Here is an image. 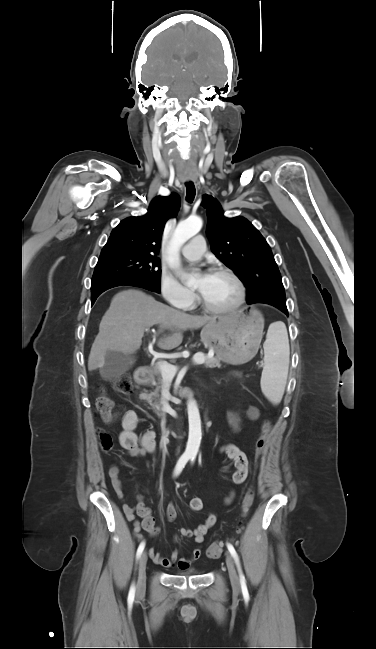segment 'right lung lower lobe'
Instances as JSON below:
<instances>
[{"instance_id":"right-lung-lower-lobe-1","label":"right lung lower lobe","mask_w":376,"mask_h":649,"mask_svg":"<svg viewBox=\"0 0 376 649\" xmlns=\"http://www.w3.org/2000/svg\"><path fill=\"white\" fill-rule=\"evenodd\" d=\"M121 285H129V286H135V287H140L144 288L147 290H150L152 292H158L156 288H154L152 285L145 283V282H139V281H134V280H129V281H123V280H115V279H110L106 281H102L97 284H92L91 285V302L92 305L94 304L95 300L97 297L107 289L116 287V286H121Z\"/></svg>"}]
</instances>
